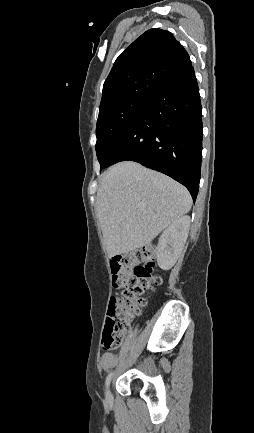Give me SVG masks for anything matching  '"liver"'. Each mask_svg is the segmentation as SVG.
<instances>
[{"label": "liver", "instance_id": "obj_1", "mask_svg": "<svg viewBox=\"0 0 254 433\" xmlns=\"http://www.w3.org/2000/svg\"><path fill=\"white\" fill-rule=\"evenodd\" d=\"M191 206L188 190L168 176L131 161L112 166L96 201L109 258L149 244Z\"/></svg>", "mask_w": 254, "mask_h": 433}]
</instances>
